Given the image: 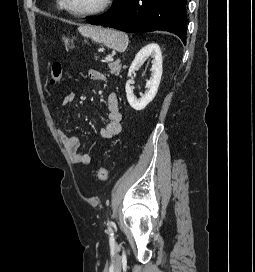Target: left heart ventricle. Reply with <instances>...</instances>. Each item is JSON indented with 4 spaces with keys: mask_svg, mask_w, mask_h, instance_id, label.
Listing matches in <instances>:
<instances>
[{
    "mask_svg": "<svg viewBox=\"0 0 255 272\" xmlns=\"http://www.w3.org/2000/svg\"><path fill=\"white\" fill-rule=\"evenodd\" d=\"M69 7L78 12L89 11L97 8L103 0H67Z\"/></svg>",
    "mask_w": 255,
    "mask_h": 272,
    "instance_id": "b2bd125f",
    "label": "left heart ventricle"
}]
</instances>
